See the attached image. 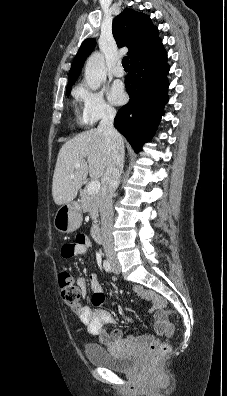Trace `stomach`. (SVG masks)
<instances>
[{"mask_svg":"<svg viewBox=\"0 0 227 396\" xmlns=\"http://www.w3.org/2000/svg\"><path fill=\"white\" fill-rule=\"evenodd\" d=\"M82 222V215L78 203L61 206L54 217V227L61 233H70L78 229Z\"/></svg>","mask_w":227,"mask_h":396,"instance_id":"obj_1","label":"stomach"}]
</instances>
